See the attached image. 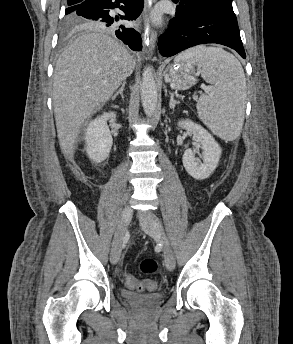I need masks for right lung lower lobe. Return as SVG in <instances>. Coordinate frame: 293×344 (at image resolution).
<instances>
[{"label": "right lung lower lobe", "mask_w": 293, "mask_h": 344, "mask_svg": "<svg viewBox=\"0 0 293 344\" xmlns=\"http://www.w3.org/2000/svg\"><path fill=\"white\" fill-rule=\"evenodd\" d=\"M143 4V0H83L77 4L76 13L93 22L94 29H105L116 35L132 50L140 51L142 49L140 33L118 21L135 20L142 12ZM114 8L122 10L124 15H113L111 10Z\"/></svg>", "instance_id": "obj_1"}]
</instances>
